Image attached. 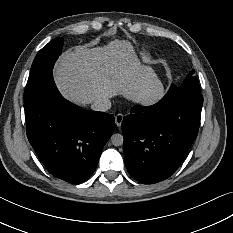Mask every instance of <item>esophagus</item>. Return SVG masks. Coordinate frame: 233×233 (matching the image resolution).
<instances>
[{
  "label": "esophagus",
  "instance_id": "1",
  "mask_svg": "<svg viewBox=\"0 0 233 233\" xmlns=\"http://www.w3.org/2000/svg\"><path fill=\"white\" fill-rule=\"evenodd\" d=\"M122 121H123V115H122V114H117V115L115 116V123H116V125H117L118 127L121 126Z\"/></svg>",
  "mask_w": 233,
  "mask_h": 233
}]
</instances>
